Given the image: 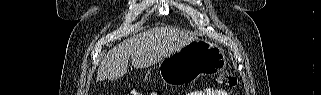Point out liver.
<instances>
[{"label": "liver", "instance_id": "obj_1", "mask_svg": "<svg viewBox=\"0 0 321 95\" xmlns=\"http://www.w3.org/2000/svg\"><path fill=\"white\" fill-rule=\"evenodd\" d=\"M191 32L173 28H154L133 36L108 51L97 71V81L117 80L128 70V61L136 68H147L197 40Z\"/></svg>", "mask_w": 321, "mask_h": 95}]
</instances>
